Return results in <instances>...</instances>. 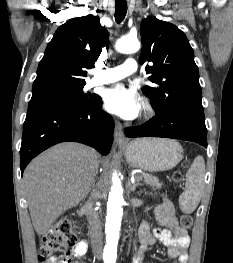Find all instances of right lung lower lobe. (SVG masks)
Segmentation results:
<instances>
[{
	"label": "right lung lower lobe",
	"mask_w": 233,
	"mask_h": 263,
	"mask_svg": "<svg viewBox=\"0 0 233 263\" xmlns=\"http://www.w3.org/2000/svg\"><path fill=\"white\" fill-rule=\"evenodd\" d=\"M113 131V119L102 110L99 96L87 105L27 114L20 149L21 172L39 153L64 141L84 143L107 155L111 149Z\"/></svg>",
	"instance_id": "1"
}]
</instances>
